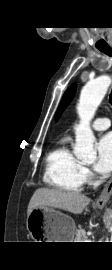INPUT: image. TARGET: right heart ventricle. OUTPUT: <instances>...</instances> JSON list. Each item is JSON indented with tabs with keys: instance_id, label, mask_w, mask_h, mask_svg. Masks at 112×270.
<instances>
[{
	"instance_id": "obj_1",
	"label": "right heart ventricle",
	"mask_w": 112,
	"mask_h": 270,
	"mask_svg": "<svg viewBox=\"0 0 112 270\" xmlns=\"http://www.w3.org/2000/svg\"><path fill=\"white\" fill-rule=\"evenodd\" d=\"M43 179L47 185L61 191L78 193L82 190L84 167L70 150L67 138L48 153Z\"/></svg>"
}]
</instances>
